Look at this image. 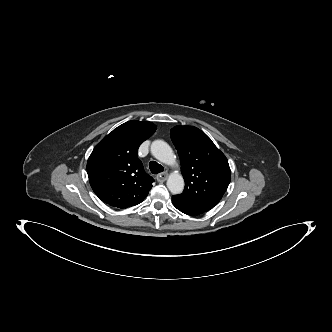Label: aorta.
Instances as JSON below:
<instances>
[{"instance_id": "aorta-1", "label": "aorta", "mask_w": 332, "mask_h": 332, "mask_svg": "<svg viewBox=\"0 0 332 332\" xmlns=\"http://www.w3.org/2000/svg\"><path fill=\"white\" fill-rule=\"evenodd\" d=\"M152 155L160 162L174 165L176 156L172 148L163 140H155L151 144ZM167 187L172 194H180L184 189V179L177 171L171 173L167 180Z\"/></svg>"}]
</instances>
